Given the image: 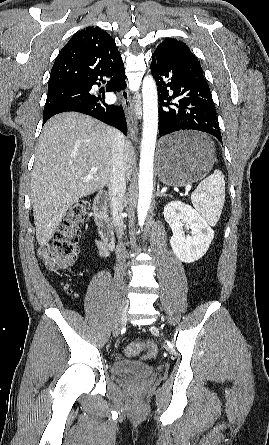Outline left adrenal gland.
<instances>
[{"instance_id": "left-adrenal-gland-1", "label": "left adrenal gland", "mask_w": 269, "mask_h": 445, "mask_svg": "<svg viewBox=\"0 0 269 445\" xmlns=\"http://www.w3.org/2000/svg\"><path fill=\"white\" fill-rule=\"evenodd\" d=\"M156 196H157V197H162V196L167 197V196H170V195H167V194H164V193L160 192V185L158 184V185H157V193H156Z\"/></svg>"}]
</instances>
